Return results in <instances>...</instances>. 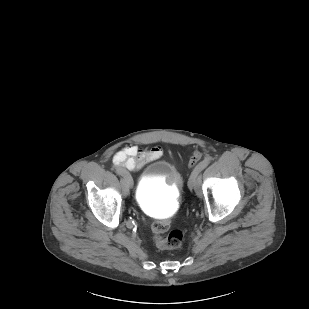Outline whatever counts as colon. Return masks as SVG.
I'll list each match as a JSON object with an SVG mask.
<instances>
[{"label": "colon", "instance_id": "1", "mask_svg": "<svg viewBox=\"0 0 309 309\" xmlns=\"http://www.w3.org/2000/svg\"><path fill=\"white\" fill-rule=\"evenodd\" d=\"M202 158L200 151H195L191 156L188 166L194 170ZM170 228L169 219H161L152 224L153 240L156 246L162 250L176 249L181 246L184 234L180 229H174L168 232ZM168 232V233H167ZM167 233V234H166Z\"/></svg>", "mask_w": 309, "mask_h": 309}]
</instances>
